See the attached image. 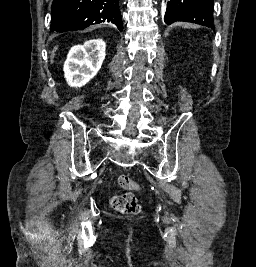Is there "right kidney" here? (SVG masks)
<instances>
[{
  "label": "right kidney",
  "mask_w": 256,
  "mask_h": 267,
  "mask_svg": "<svg viewBox=\"0 0 256 267\" xmlns=\"http://www.w3.org/2000/svg\"><path fill=\"white\" fill-rule=\"evenodd\" d=\"M105 48L103 40H87L71 48L63 68L71 88H82L96 76L105 60Z\"/></svg>",
  "instance_id": "right-kidney-1"
}]
</instances>
